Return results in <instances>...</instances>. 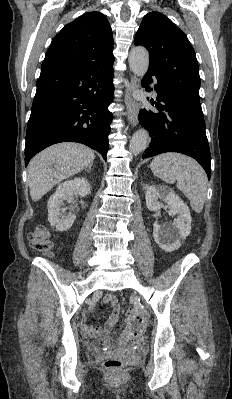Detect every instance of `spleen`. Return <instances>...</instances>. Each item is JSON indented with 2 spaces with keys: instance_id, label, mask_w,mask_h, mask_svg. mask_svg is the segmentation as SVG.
<instances>
[{
  "instance_id": "spleen-1",
  "label": "spleen",
  "mask_w": 232,
  "mask_h": 399,
  "mask_svg": "<svg viewBox=\"0 0 232 399\" xmlns=\"http://www.w3.org/2000/svg\"><path fill=\"white\" fill-rule=\"evenodd\" d=\"M150 168L166 184H174L190 201L194 211L200 213L207 196V176L198 162L182 154H161L153 158Z\"/></svg>"
}]
</instances>
